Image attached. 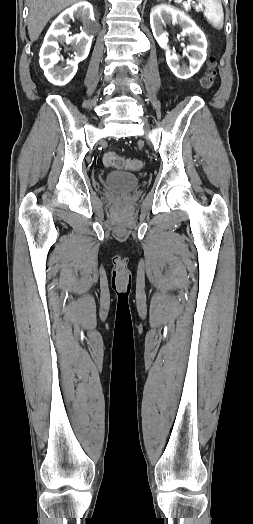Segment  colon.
Here are the masks:
<instances>
[{"mask_svg":"<svg viewBox=\"0 0 253 524\" xmlns=\"http://www.w3.org/2000/svg\"><path fill=\"white\" fill-rule=\"evenodd\" d=\"M216 61H209V68L205 76L201 79V87L204 90H208L213 87L217 78ZM103 162L107 167L125 168L130 170H140L143 163L139 159H124L119 156L116 152H107L103 157Z\"/></svg>","mask_w":253,"mask_h":524,"instance_id":"5ec220e1","label":"colon"}]
</instances>
